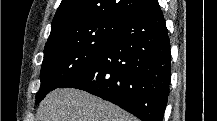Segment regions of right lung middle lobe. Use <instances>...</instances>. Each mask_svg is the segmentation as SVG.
<instances>
[{
  "mask_svg": "<svg viewBox=\"0 0 217 121\" xmlns=\"http://www.w3.org/2000/svg\"><path fill=\"white\" fill-rule=\"evenodd\" d=\"M123 23L118 20L102 19L78 24L47 43L36 103L96 60Z\"/></svg>",
  "mask_w": 217,
  "mask_h": 121,
  "instance_id": "1",
  "label": "right lung middle lobe"
}]
</instances>
